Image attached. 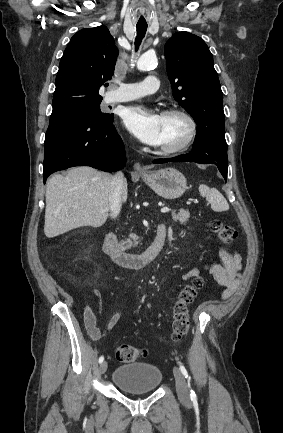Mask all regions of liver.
Returning a JSON list of instances; mask_svg holds the SVG:
<instances>
[{
    "label": "liver",
    "mask_w": 283,
    "mask_h": 433,
    "mask_svg": "<svg viewBox=\"0 0 283 433\" xmlns=\"http://www.w3.org/2000/svg\"><path fill=\"white\" fill-rule=\"evenodd\" d=\"M112 174L91 166H77L66 176L53 174L47 180L44 233L57 237L77 227H102L109 217ZM127 182L121 200H127Z\"/></svg>",
    "instance_id": "1"
}]
</instances>
